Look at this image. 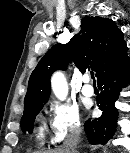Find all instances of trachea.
<instances>
[{
  "label": "trachea",
  "mask_w": 130,
  "mask_h": 153,
  "mask_svg": "<svg viewBox=\"0 0 130 153\" xmlns=\"http://www.w3.org/2000/svg\"><path fill=\"white\" fill-rule=\"evenodd\" d=\"M91 78L93 79V83L95 84L96 81H95V78H94V74L93 73H91Z\"/></svg>",
  "instance_id": "3493384b"
}]
</instances>
